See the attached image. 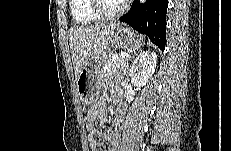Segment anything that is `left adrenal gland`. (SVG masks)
Returning a JSON list of instances; mask_svg holds the SVG:
<instances>
[{"instance_id":"obj_1","label":"left adrenal gland","mask_w":231,"mask_h":151,"mask_svg":"<svg viewBox=\"0 0 231 151\" xmlns=\"http://www.w3.org/2000/svg\"><path fill=\"white\" fill-rule=\"evenodd\" d=\"M141 53V52H140ZM137 55V52L134 53V56ZM131 58V56L129 57V59ZM129 59L127 61H129ZM124 73L126 74V77L128 78V74L130 76V69L129 67L127 66Z\"/></svg>"}]
</instances>
